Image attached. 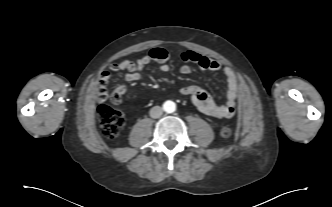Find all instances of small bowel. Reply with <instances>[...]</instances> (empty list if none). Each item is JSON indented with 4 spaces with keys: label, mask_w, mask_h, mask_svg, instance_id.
Segmentation results:
<instances>
[{
    "label": "small bowel",
    "mask_w": 332,
    "mask_h": 207,
    "mask_svg": "<svg viewBox=\"0 0 332 207\" xmlns=\"http://www.w3.org/2000/svg\"><path fill=\"white\" fill-rule=\"evenodd\" d=\"M170 56L163 48H154L148 54L138 58L135 61L123 60L121 62L113 63L109 69L101 73L100 82L106 85L112 73L118 71H127L125 80L128 82L137 81L141 78L142 70L149 65H156L161 72L167 73L170 71L168 65ZM180 59L184 65L180 67V73L187 75L191 72L188 63H194L201 69L209 71L221 70V64L209 57L203 56L195 51H184L180 54ZM223 74L226 78L228 89L226 101L222 104L216 103L211 96L201 87L186 86L179 89L180 93L191 97L193 104L204 114L216 118L226 119L231 118L236 109V100L238 96V79L235 72L229 68H223ZM126 88L124 85L119 86L115 92L122 95Z\"/></svg>",
    "instance_id": "small-bowel-1"
}]
</instances>
